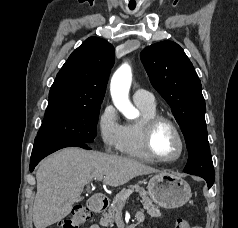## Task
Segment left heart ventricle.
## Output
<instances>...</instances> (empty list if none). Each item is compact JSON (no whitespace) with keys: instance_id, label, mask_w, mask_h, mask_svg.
Masks as SVG:
<instances>
[{"instance_id":"1","label":"left heart ventricle","mask_w":238,"mask_h":228,"mask_svg":"<svg viewBox=\"0 0 238 228\" xmlns=\"http://www.w3.org/2000/svg\"><path fill=\"white\" fill-rule=\"evenodd\" d=\"M153 148L158 156L171 159L179 153V142L172 129L162 124L153 138Z\"/></svg>"}]
</instances>
